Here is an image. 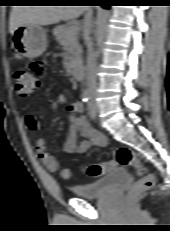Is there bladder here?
I'll return each mask as SVG.
<instances>
[{
  "label": "bladder",
  "instance_id": "obj_1",
  "mask_svg": "<svg viewBox=\"0 0 170 231\" xmlns=\"http://www.w3.org/2000/svg\"><path fill=\"white\" fill-rule=\"evenodd\" d=\"M127 179V171L123 168H117L94 182L75 185L71 188V191L75 196L80 198H99L110 193L114 188L126 182Z\"/></svg>",
  "mask_w": 170,
  "mask_h": 231
}]
</instances>
